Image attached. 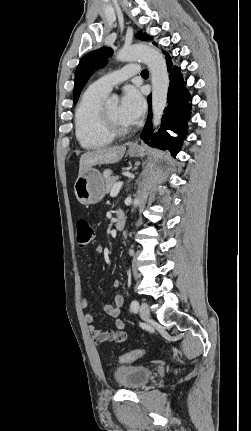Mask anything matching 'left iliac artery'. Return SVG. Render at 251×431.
Instances as JSON below:
<instances>
[{"mask_svg": "<svg viewBox=\"0 0 251 431\" xmlns=\"http://www.w3.org/2000/svg\"><path fill=\"white\" fill-rule=\"evenodd\" d=\"M139 308V303L137 300H133L130 305V309L132 312H137Z\"/></svg>", "mask_w": 251, "mask_h": 431, "instance_id": "left-iliac-artery-1", "label": "left iliac artery"}]
</instances>
